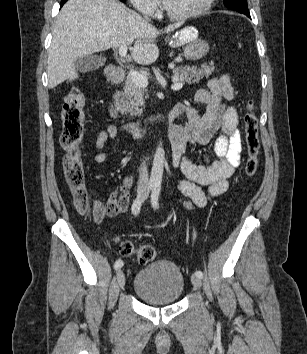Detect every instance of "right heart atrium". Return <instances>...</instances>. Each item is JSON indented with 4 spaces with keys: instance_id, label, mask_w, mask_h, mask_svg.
Returning a JSON list of instances; mask_svg holds the SVG:
<instances>
[{
    "instance_id": "right-heart-atrium-1",
    "label": "right heart atrium",
    "mask_w": 307,
    "mask_h": 354,
    "mask_svg": "<svg viewBox=\"0 0 307 354\" xmlns=\"http://www.w3.org/2000/svg\"><path fill=\"white\" fill-rule=\"evenodd\" d=\"M132 6L139 12L153 15L157 11L156 0H129Z\"/></svg>"
}]
</instances>
